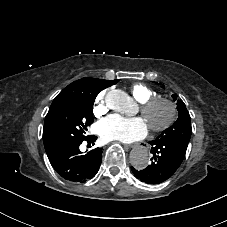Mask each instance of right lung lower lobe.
I'll use <instances>...</instances> for the list:
<instances>
[{
	"instance_id": "obj_1",
	"label": "right lung lower lobe",
	"mask_w": 227,
	"mask_h": 227,
	"mask_svg": "<svg viewBox=\"0 0 227 227\" xmlns=\"http://www.w3.org/2000/svg\"><path fill=\"white\" fill-rule=\"evenodd\" d=\"M96 136H85L83 140L68 142L47 151V156L53 168L65 179L74 182H85L98 172L102 161L101 148H95L82 154L79 145L83 141L92 143Z\"/></svg>"
}]
</instances>
